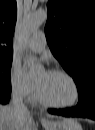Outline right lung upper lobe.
<instances>
[{"mask_svg": "<svg viewBox=\"0 0 95 130\" xmlns=\"http://www.w3.org/2000/svg\"><path fill=\"white\" fill-rule=\"evenodd\" d=\"M16 0H0V58H12V39L16 24Z\"/></svg>", "mask_w": 95, "mask_h": 130, "instance_id": "right-lung-upper-lobe-1", "label": "right lung upper lobe"}]
</instances>
